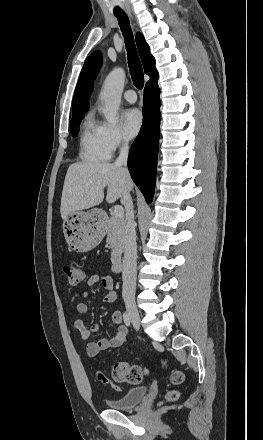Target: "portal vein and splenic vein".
I'll use <instances>...</instances> for the list:
<instances>
[{"label": "portal vein and splenic vein", "instance_id": "obj_1", "mask_svg": "<svg viewBox=\"0 0 263 440\" xmlns=\"http://www.w3.org/2000/svg\"><path fill=\"white\" fill-rule=\"evenodd\" d=\"M114 216L122 218L124 216V209L121 206H114Z\"/></svg>", "mask_w": 263, "mask_h": 440}]
</instances>
